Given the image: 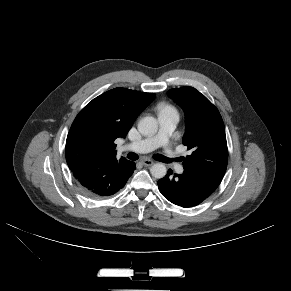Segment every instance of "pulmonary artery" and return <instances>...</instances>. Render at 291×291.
Returning a JSON list of instances; mask_svg holds the SVG:
<instances>
[{
  "instance_id": "obj_1",
  "label": "pulmonary artery",
  "mask_w": 291,
  "mask_h": 291,
  "mask_svg": "<svg viewBox=\"0 0 291 291\" xmlns=\"http://www.w3.org/2000/svg\"><path fill=\"white\" fill-rule=\"evenodd\" d=\"M159 131L152 137L130 143L124 148L138 153L150 152L161 147L164 156L174 165L178 173H183V166L177 161V155L170 145V137L179 121V116L175 112L160 114L158 117Z\"/></svg>"
}]
</instances>
